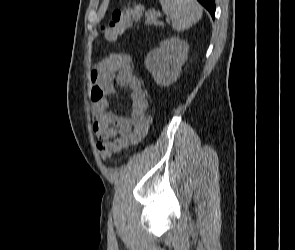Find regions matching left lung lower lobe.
Here are the masks:
<instances>
[{"label": "left lung lower lobe", "mask_w": 295, "mask_h": 250, "mask_svg": "<svg viewBox=\"0 0 295 250\" xmlns=\"http://www.w3.org/2000/svg\"><path fill=\"white\" fill-rule=\"evenodd\" d=\"M211 14L214 18L215 16V0H198Z\"/></svg>", "instance_id": "1"}]
</instances>
